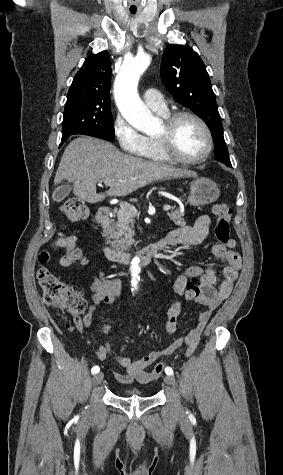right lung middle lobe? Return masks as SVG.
I'll return each mask as SVG.
<instances>
[{"mask_svg":"<svg viewBox=\"0 0 283 475\" xmlns=\"http://www.w3.org/2000/svg\"><path fill=\"white\" fill-rule=\"evenodd\" d=\"M62 136L84 134L114 141V124L109 101L67 99Z\"/></svg>","mask_w":283,"mask_h":475,"instance_id":"dd1d6c3e","label":"right lung middle lobe"}]
</instances>
